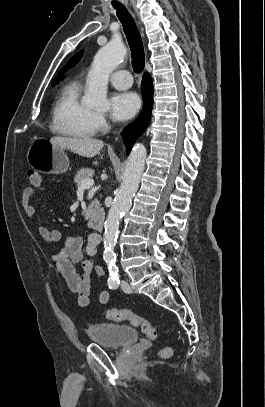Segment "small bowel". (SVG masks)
<instances>
[{"label": "small bowel", "mask_w": 265, "mask_h": 407, "mask_svg": "<svg viewBox=\"0 0 265 407\" xmlns=\"http://www.w3.org/2000/svg\"><path fill=\"white\" fill-rule=\"evenodd\" d=\"M35 190L26 187L21 196V205L25 213L30 217H37V210L30 204L31 198L35 195ZM39 235L48 243H57L62 238V233L56 228L44 225L38 226ZM98 248V238L90 236L86 245V252L89 256H94ZM57 270L68 289L78 296V305L82 308L90 303L91 281L93 278H101L105 271L97 267L92 259H84V239L80 235L67 237L62 248L52 254ZM99 302L107 305L110 301L109 293L105 290L98 292Z\"/></svg>", "instance_id": "c3829d8e"}]
</instances>
